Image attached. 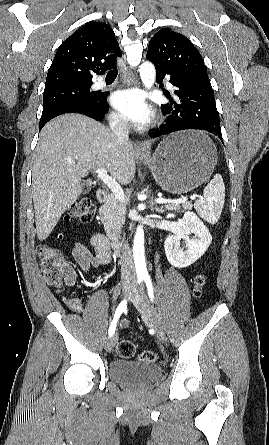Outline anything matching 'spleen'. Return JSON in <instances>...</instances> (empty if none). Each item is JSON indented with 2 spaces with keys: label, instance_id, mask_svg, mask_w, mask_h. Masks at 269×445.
Here are the masks:
<instances>
[{
  "label": "spleen",
  "instance_id": "spleen-1",
  "mask_svg": "<svg viewBox=\"0 0 269 445\" xmlns=\"http://www.w3.org/2000/svg\"><path fill=\"white\" fill-rule=\"evenodd\" d=\"M225 201V185L220 174H216L207 184L203 198L194 203V208L201 218L215 224L220 218Z\"/></svg>",
  "mask_w": 269,
  "mask_h": 445
}]
</instances>
